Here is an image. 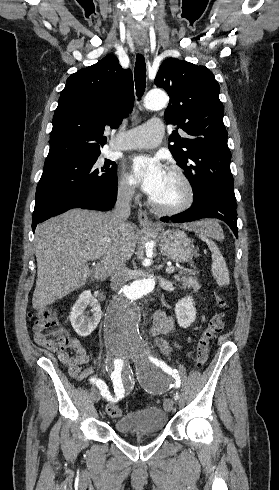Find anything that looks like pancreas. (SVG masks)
<instances>
[{
	"label": "pancreas",
	"instance_id": "cf45deb5",
	"mask_svg": "<svg viewBox=\"0 0 279 490\" xmlns=\"http://www.w3.org/2000/svg\"><path fill=\"white\" fill-rule=\"evenodd\" d=\"M181 274H187V276H181ZM174 278H177V280L183 282V286H187V288H191V286L192 288H200L197 280L192 278V276H189L188 270H185V268H183V270L179 268V274H175Z\"/></svg>",
	"mask_w": 279,
	"mask_h": 490
}]
</instances>
